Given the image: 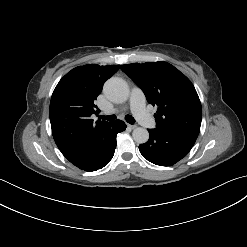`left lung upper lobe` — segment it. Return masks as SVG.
<instances>
[{"label": "left lung upper lobe", "instance_id": "obj_1", "mask_svg": "<svg viewBox=\"0 0 247 247\" xmlns=\"http://www.w3.org/2000/svg\"><path fill=\"white\" fill-rule=\"evenodd\" d=\"M144 92L148 103L158 106L156 130L198 137L202 108L191 81L167 62L121 65Z\"/></svg>", "mask_w": 247, "mask_h": 247}]
</instances>
